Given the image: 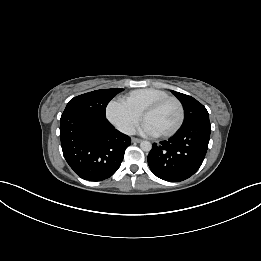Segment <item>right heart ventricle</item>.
<instances>
[{
	"label": "right heart ventricle",
	"mask_w": 261,
	"mask_h": 261,
	"mask_svg": "<svg viewBox=\"0 0 261 261\" xmlns=\"http://www.w3.org/2000/svg\"><path fill=\"white\" fill-rule=\"evenodd\" d=\"M169 96V94L161 89L144 88L133 90L123 97V101L134 111L142 114L143 110L156 100Z\"/></svg>",
	"instance_id": "right-heart-ventricle-1"
}]
</instances>
